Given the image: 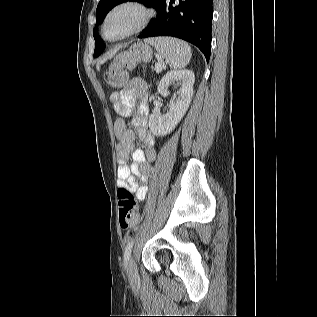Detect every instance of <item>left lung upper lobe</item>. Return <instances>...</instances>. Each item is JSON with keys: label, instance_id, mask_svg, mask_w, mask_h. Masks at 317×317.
<instances>
[{"label": "left lung upper lobe", "instance_id": "obj_1", "mask_svg": "<svg viewBox=\"0 0 317 317\" xmlns=\"http://www.w3.org/2000/svg\"><path fill=\"white\" fill-rule=\"evenodd\" d=\"M126 1H135L144 4L148 7H153L158 10L162 0H100L96 9V21L97 24H101L106 16V14L117 4L126 2ZM94 39H95V51L94 57H97L104 50V43L99 38L97 34V30L93 31Z\"/></svg>", "mask_w": 317, "mask_h": 317}]
</instances>
